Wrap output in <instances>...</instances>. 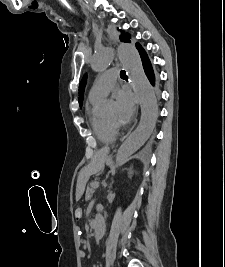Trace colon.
Listing matches in <instances>:
<instances>
[{"label":"colon","instance_id":"5ec220e1","mask_svg":"<svg viewBox=\"0 0 225 267\" xmlns=\"http://www.w3.org/2000/svg\"><path fill=\"white\" fill-rule=\"evenodd\" d=\"M74 214L77 219L81 218L83 214L82 208L80 206H77L74 210Z\"/></svg>","mask_w":225,"mask_h":267}]
</instances>
